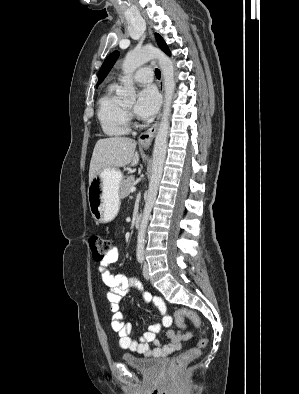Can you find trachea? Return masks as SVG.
Listing matches in <instances>:
<instances>
[{
  "instance_id": "1",
  "label": "trachea",
  "mask_w": 299,
  "mask_h": 394,
  "mask_svg": "<svg viewBox=\"0 0 299 394\" xmlns=\"http://www.w3.org/2000/svg\"><path fill=\"white\" fill-rule=\"evenodd\" d=\"M155 75H156V77H157L158 79H160V77H161V72H160L159 69H156V70H155Z\"/></svg>"
}]
</instances>
